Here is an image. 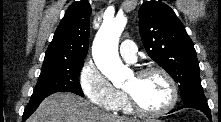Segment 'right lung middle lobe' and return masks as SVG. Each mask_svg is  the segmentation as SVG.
I'll list each match as a JSON object with an SVG mask.
<instances>
[{
    "mask_svg": "<svg viewBox=\"0 0 221 122\" xmlns=\"http://www.w3.org/2000/svg\"><path fill=\"white\" fill-rule=\"evenodd\" d=\"M84 61H47L43 62L38 82L31 100L47 97L55 92H73L84 96L78 75Z\"/></svg>",
    "mask_w": 221,
    "mask_h": 122,
    "instance_id": "right-lung-middle-lobe-1",
    "label": "right lung middle lobe"
}]
</instances>
